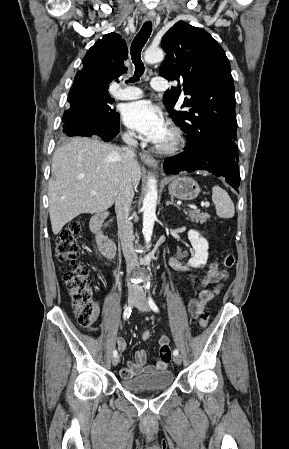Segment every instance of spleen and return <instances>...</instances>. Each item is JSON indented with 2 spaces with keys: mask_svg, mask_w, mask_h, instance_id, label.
Returning a JSON list of instances; mask_svg holds the SVG:
<instances>
[{
  "mask_svg": "<svg viewBox=\"0 0 289 449\" xmlns=\"http://www.w3.org/2000/svg\"><path fill=\"white\" fill-rule=\"evenodd\" d=\"M212 201L215 204L216 214L220 218H232L235 214L234 204L228 193L220 186L212 188Z\"/></svg>",
  "mask_w": 289,
  "mask_h": 449,
  "instance_id": "obj_1",
  "label": "spleen"
}]
</instances>
